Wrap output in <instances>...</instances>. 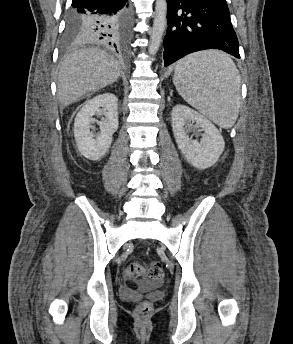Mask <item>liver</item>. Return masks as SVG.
<instances>
[{"instance_id":"1","label":"liver","mask_w":293,"mask_h":344,"mask_svg":"<svg viewBox=\"0 0 293 344\" xmlns=\"http://www.w3.org/2000/svg\"><path fill=\"white\" fill-rule=\"evenodd\" d=\"M121 74L119 62L101 49H81L61 63L57 93L66 107L87 93H94L116 82Z\"/></svg>"}]
</instances>
